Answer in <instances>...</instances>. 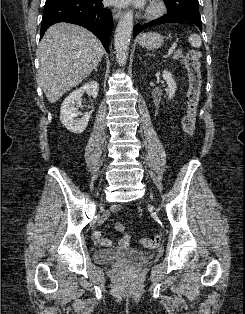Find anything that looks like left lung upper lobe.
Wrapping results in <instances>:
<instances>
[{
  "label": "left lung upper lobe",
  "instance_id": "1",
  "mask_svg": "<svg viewBox=\"0 0 245 314\" xmlns=\"http://www.w3.org/2000/svg\"><path fill=\"white\" fill-rule=\"evenodd\" d=\"M168 14H191L200 17L198 0H163Z\"/></svg>",
  "mask_w": 245,
  "mask_h": 314
}]
</instances>
